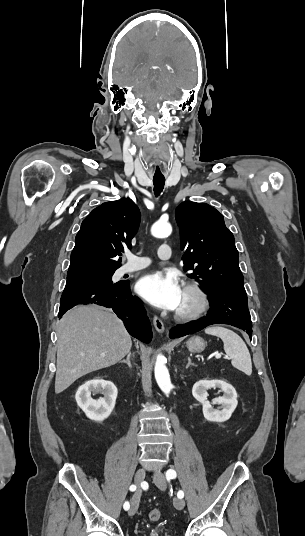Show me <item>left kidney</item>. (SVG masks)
<instances>
[{
  "mask_svg": "<svg viewBox=\"0 0 305 536\" xmlns=\"http://www.w3.org/2000/svg\"><path fill=\"white\" fill-rule=\"evenodd\" d=\"M209 388H221L224 392L222 398H214L212 404H220L215 410L207 400V390ZM192 394L203 406V416L209 422H226L231 418L238 402L235 388L231 384H227L224 380H199L192 388Z\"/></svg>",
  "mask_w": 305,
  "mask_h": 536,
  "instance_id": "left-kidney-1",
  "label": "left kidney"
}]
</instances>
